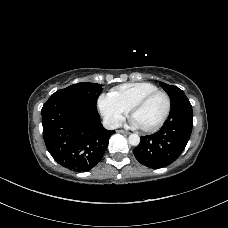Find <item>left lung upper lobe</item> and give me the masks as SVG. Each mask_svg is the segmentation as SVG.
Segmentation results:
<instances>
[{
  "mask_svg": "<svg viewBox=\"0 0 228 228\" xmlns=\"http://www.w3.org/2000/svg\"><path fill=\"white\" fill-rule=\"evenodd\" d=\"M161 86L169 93L172 107L178 106L182 101L187 99L184 92L177 86L168 85L164 82H161Z\"/></svg>",
  "mask_w": 228,
  "mask_h": 228,
  "instance_id": "obj_1",
  "label": "left lung upper lobe"
}]
</instances>
